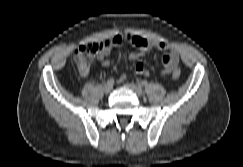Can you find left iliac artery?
<instances>
[{
	"label": "left iliac artery",
	"instance_id": "44dca946",
	"mask_svg": "<svg viewBox=\"0 0 243 167\" xmlns=\"http://www.w3.org/2000/svg\"><path fill=\"white\" fill-rule=\"evenodd\" d=\"M140 85L144 87V86H147L148 83H147V81H141V82H140Z\"/></svg>",
	"mask_w": 243,
	"mask_h": 167
}]
</instances>
